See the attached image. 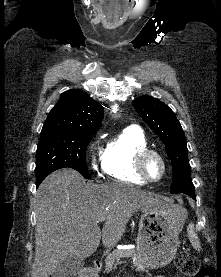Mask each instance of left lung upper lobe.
Listing matches in <instances>:
<instances>
[{"mask_svg":"<svg viewBox=\"0 0 221 277\" xmlns=\"http://www.w3.org/2000/svg\"><path fill=\"white\" fill-rule=\"evenodd\" d=\"M138 114L166 146L173 167L171 193L194 191L183 129L174 112L160 100L142 96L132 102Z\"/></svg>","mask_w":221,"mask_h":277,"instance_id":"left-lung-upper-lobe-1","label":"left lung upper lobe"}]
</instances>
